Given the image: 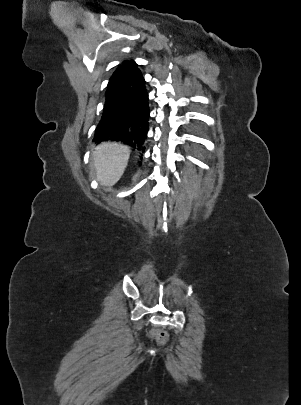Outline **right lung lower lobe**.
<instances>
[{
    "label": "right lung lower lobe",
    "mask_w": 301,
    "mask_h": 405,
    "mask_svg": "<svg viewBox=\"0 0 301 405\" xmlns=\"http://www.w3.org/2000/svg\"><path fill=\"white\" fill-rule=\"evenodd\" d=\"M145 80L135 62L130 61L116 79L108 84L103 114L94 141H119L145 149L149 120Z\"/></svg>",
    "instance_id": "1"
}]
</instances>
